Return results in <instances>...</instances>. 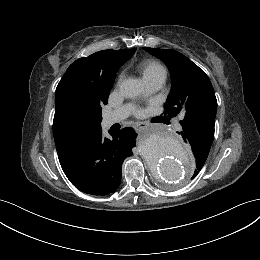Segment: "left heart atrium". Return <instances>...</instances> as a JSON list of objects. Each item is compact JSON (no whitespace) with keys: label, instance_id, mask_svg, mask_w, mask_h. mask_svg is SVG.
I'll return each mask as SVG.
<instances>
[{"label":"left heart atrium","instance_id":"obj_1","mask_svg":"<svg viewBox=\"0 0 260 260\" xmlns=\"http://www.w3.org/2000/svg\"><path fill=\"white\" fill-rule=\"evenodd\" d=\"M136 114H137V115H142V114H143V111H142V110H137V111H136Z\"/></svg>","mask_w":260,"mask_h":260}]
</instances>
